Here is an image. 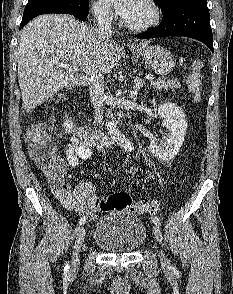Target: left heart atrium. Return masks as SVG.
<instances>
[{
	"label": "left heart atrium",
	"instance_id": "left-heart-atrium-1",
	"mask_svg": "<svg viewBox=\"0 0 233 294\" xmlns=\"http://www.w3.org/2000/svg\"><path fill=\"white\" fill-rule=\"evenodd\" d=\"M109 2L117 13L124 19H128L138 9L142 0H106Z\"/></svg>",
	"mask_w": 233,
	"mask_h": 294
}]
</instances>
